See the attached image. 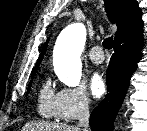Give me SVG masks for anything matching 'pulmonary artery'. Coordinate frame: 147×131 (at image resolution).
Instances as JSON below:
<instances>
[{
  "mask_svg": "<svg viewBox=\"0 0 147 131\" xmlns=\"http://www.w3.org/2000/svg\"><path fill=\"white\" fill-rule=\"evenodd\" d=\"M89 58L93 63L100 64L104 61L103 50L100 46H94L89 51Z\"/></svg>",
  "mask_w": 147,
  "mask_h": 131,
  "instance_id": "obj_1",
  "label": "pulmonary artery"
}]
</instances>
